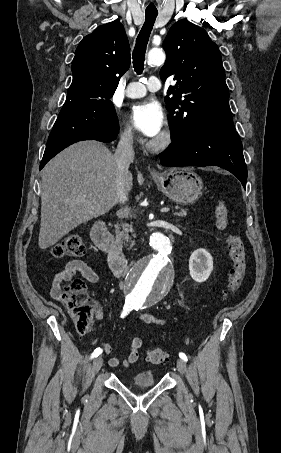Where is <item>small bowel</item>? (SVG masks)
<instances>
[{"mask_svg": "<svg viewBox=\"0 0 281 453\" xmlns=\"http://www.w3.org/2000/svg\"><path fill=\"white\" fill-rule=\"evenodd\" d=\"M77 273H80L81 276L91 284H97L99 281L98 274L88 266L84 261L80 259H73L66 263L64 268L53 275L52 281L49 285V291L51 296L60 303H65V295L63 284L73 280ZM94 312L97 318L103 316V311L97 302L92 304ZM142 321L146 323H154L158 325H164L167 322L166 318H156L149 314L142 315ZM142 339L140 337H134L131 341L130 350L125 359H122L119 356L110 357L107 361L108 365L111 367L117 366H130L137 362L139 358V352L142 348ZM103 350L106 353L112 351V347L108 343L102 345Z\"/></svg>", "mask_w": 281, "mask_h": 453, "instance_id": "obj_1", "label": "small bowel"}]
</instances>
